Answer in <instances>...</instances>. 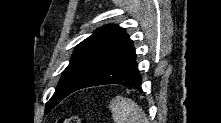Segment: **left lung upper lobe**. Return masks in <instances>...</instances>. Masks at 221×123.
Returning <instances> with one entry per match:
<instances>
[{"label": "left lung upper lobe", "mask_w": 221, "mask_h": 123, "mask_svg": "<svg viewBox=\"0 0 221 123\" xmlns=\"http://www.w3.org/2000/svg\"><path fill=\"white\" fill-rule=\"evenodd\" d=\"M133 48V42L124 29L105 25L77 45L69 65L63 71L56 91L49 100V112L67 95L77 90L101 68Z\"/></svg>", "instance_id": "obj_1"}]
</instances>
